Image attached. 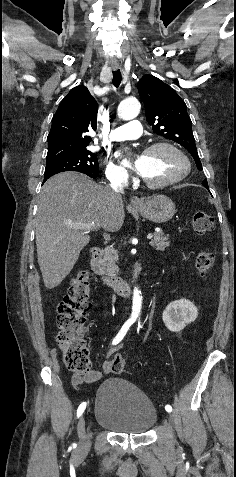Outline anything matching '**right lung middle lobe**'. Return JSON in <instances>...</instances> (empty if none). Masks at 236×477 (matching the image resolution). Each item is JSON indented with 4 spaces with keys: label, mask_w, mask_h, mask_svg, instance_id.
I'll use <instances>...</instances> for the list:
<instances>
[{
    "label": "right lung middle lobe",
    "mask_w": 236,
    "mask_h": 477,
    "mask_svg": "<svg viewBox=\"0 0 236 477\" xmlns=\"http://www.w3.org/2000/svg\"><path fill=\"white\" fill-rule=\"evenodd\" d=\"M64 171H77L96 178L99 171L97 155L83 148L73 154L48 160L44 179Z\"/></svg>",
    "instance_id": "right-lung-middle-lobe-1"
}]
</instances>
